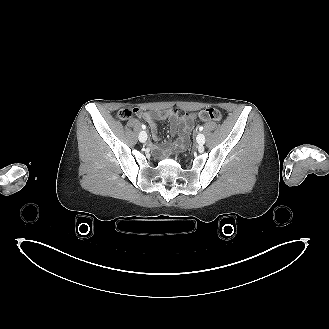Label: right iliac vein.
<instances>
[{"instance_id":"obj_1","label":"right iliac vein","mask_w":329,"mask_h":329,"mask_svg":"<svg viewBox=\"0 0 329 329\" xmlns=\"http://www.w3.org/2000/svg\"><path fill=\"white\" fill-rule=\"evenodd\" d=\"M138 139L140 142H145L147 140V133L145 131H141L139 133Z\"/></svg>"}]
</instances>
